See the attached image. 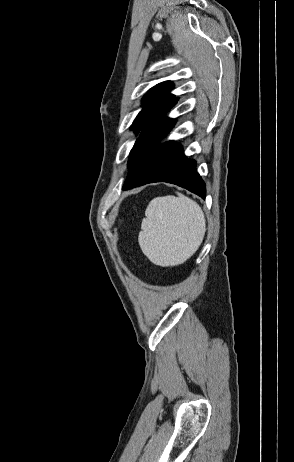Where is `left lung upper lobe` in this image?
I'll use <instances>...</instances> for the list:
<instances>
[{
  "label": "left lung upper lobe",
  "mask_w": 294,
  "mask_h": 462,
  "mask_svg": "<svg viewBox=\"0 0 294 462\" xmlns=\"http://www.w3.org/2000/svg\"><path fill=\"white\" fill-rule=\"evenodd\" d=\"M173 87L174 85L171 81H166L156 85L148 91V95L142 100L145 108L142 109L132 124L135 133H138L144 126L147 116L155 107H166L176 103V99H173L174 96L167 94Z\"/></svg>",
  "instance_id": "5c2ea615"
}]
</instances>
